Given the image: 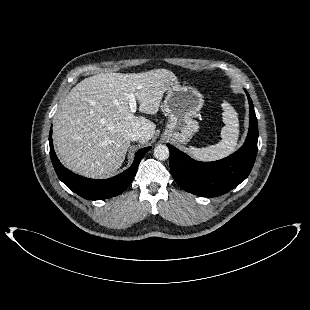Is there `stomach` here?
Wrapping results in <instances>:
<instances>
[{
  "label": "stomach",
  "instance_id": "0dacf381",
  "mask_svg": "<svg viewBox=\"0 0 310 310\" xmlns=\"http://www.w3.org/2000/svg\"><path fill=\"white\" fill-rule=\"evenodd\" d=\"M203 104V96L196 88L181 85L177 78L170 79L163 105L169 119L163 135L182 144L189 142L199 129L193 118Z\"/></svg>",
  "mask_w": 310,
  "mask_h": 310
}]
</instances>
